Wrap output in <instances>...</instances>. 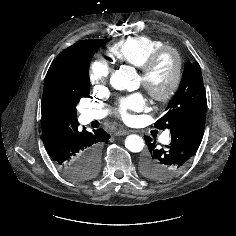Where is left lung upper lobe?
I'll list each match as a JSON object with an SVG mask.
<instances>
[{"instance_id":"5c2ea615","label":"left lung upper lobe","mask_w":236,"mask_h":236,"mask_svg":"<svg viewBox=\"0 0 236 236\" xmlns=\"http://www.w3.org/2000/svg\"><path fill=\"white\" fill-rule=\"evenodd\" d=\"M206 110V93L200 66L197 62H187L177 93L154 126L162 130L171 129L182 119L206 113Z\"/></svg>"}]
</instances>
